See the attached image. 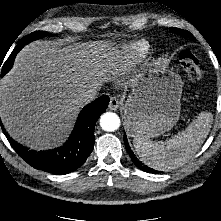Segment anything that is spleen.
Segmentation results:
<instances>
[{
  "instance_id": "1",
  "label": "spleen",
  "mask_w": 221,
  "mask_h": 221,
  "mask_svg": "<svg viewBox=\"0 0 221 221\" xmlns=\"http://www.w3.org/2000/svg\"><path fill=\"white\" fill-rule=\"evenodd\" d=\"M213 121L210 112H202L183 131L165 142H153L135 137L133 145L137 155L147 166L168 171L183 165L200 148Z\"/></svg>"
}]
</instances>
